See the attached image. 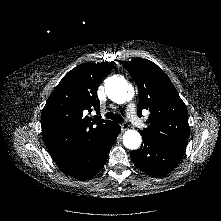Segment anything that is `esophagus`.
I'll list each match as a JSON object with an SVG mask.
<instances>
[{"label": "esophagus", "mask_w": 221, "mask_h": 221, "mask_svg": "<svg viewBox=\"0 0 221 221\" xmlns=\"http://www.w3.org/2000/svg\"><path fill=\"white\" fill-rule=\"evenodd\" d=\"M121 129H122L123 131L128 130V129H129V125H128L127 123H122V124H121Z\"/></svg>", "instance_id": "esophagus-1"}]
</instances>
